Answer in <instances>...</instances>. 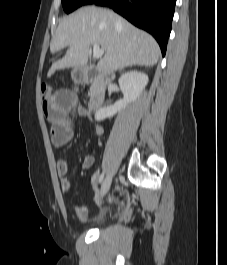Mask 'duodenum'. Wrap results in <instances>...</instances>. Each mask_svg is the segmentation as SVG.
<instances>
[{
    "mask_svg": "<svg viewBox=\"0 0 227 265\" xmlns=\"http://www.w3.org/2000/svg\"><path fill=\"white\" fill-rule=\"evenodd\" d=\"M76 81L79 83H93L94 91L89 100L88 108L95 112L99 110L104 102L106 77L89 66L82 67L76 74Z\"/></svg>",
    "mask_w": 227,
    "mask_h": 265,
    "instance_id": "1",
    "label": "duodenum"
}]
</instances>
